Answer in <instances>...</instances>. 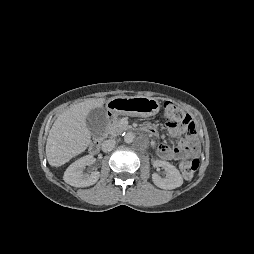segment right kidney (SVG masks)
Instances as JSON below:
<instances>
[{
  "label": "right kidney",
  "instance_id": "obj_1",
  "mask_svg": "<svg viewBox=\"0 0 254 254\" xmlns=\"http://www.w3.org/2000/svg\"><path fill=\"white\" fill-rule=\"evenodd\" d=\"M94 162L92 155H86L74 163H72L64 173V181L74 187H88L95 184L100 176L98 171L92 172L90 175L85 174L83 169L85 166Z\"/></svg>",
  "mask_w": 254,
  "mask_h": 254
}]
</instances>
